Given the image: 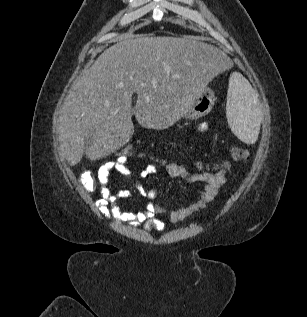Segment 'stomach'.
I'll return each mask as SVG.
<instances>
[{
  "label": "stomach",
  "mask_w": 307,
  "mask_h": 317,
  "mask_svg": "<svg viewBox=\"0 0 307 317\" xmlns=\"http://www.w3.org/2000/svg\"><path fill=\"white\" fill-rule=\"evenodd\" d=\"M214 101V93L211 90L203 89L198 91L191 100L189 107L184 114L185 117H198L209 113L214 105ZM202 107H204L203 110Z\"/></svg>",
  "instance_id": "1"
}]
</instances>
